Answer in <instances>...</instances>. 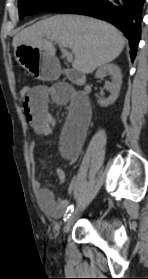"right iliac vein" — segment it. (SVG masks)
<instances>
[{
    "mask_svg": "<svg viewBox=\"0 0 148 279\" xmlns=\"http://www.w3.org/2000/svg\"><path fill=\"white\" fill-rule=\"evenodd\" d=\"M80 208H81V204H79V205L75 208V210L71 213L70 217L68 218V220H67V222H66V224H65V227H64V233H65V234H66V233L70 230V228L72 227V225H73V223H74V221H75V219H76V217H77V214H78Z\"/></svg>",
    "mask_w": 148,
    "mask_h": 279,
    "instance_id": "right-iliac-vein-1",
    "label": "right iliac vein"
}]
</instances>
